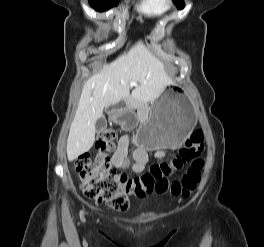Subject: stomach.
Masks as SVG:
<instances>
[{
    "label": "stomach",
    "instance_id": "stomach-1",
    "mask_svg": "<svg viewBox=\"0 0 264 247\" xmlns=\"http://www.w3.org/2000/svg\"><path fill=\"white\" fill-rule=\"evenodd\" d=\"M111 118L126 128L136 122L129 104L114 109ZM194 122L193 106L182 86H165V93L147 110L135 141L146 150L179 147Z\"/></svg>",
    "mask_w": 264,
    "mask_h": 247
}]
</instances>
